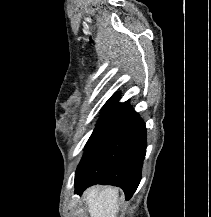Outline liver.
Listing matches in <instances>:
<instances>
[{
  "instance_id": "liver-1",
  "label": "liver",
  "mask_w": 211,
  "mask_h": 217,
  "mask_svg": "<svg viewBox=\"0 0 211 217\" xmlns=\"http://www.w3.org/2000/svg\"><path fill=\"white\" fill-rule=\"evenodd\" d=\"M119 192L117 188L98 186L88 189L85 193V201L90 217H116Z\"/></svg>"
}]
</instances>
